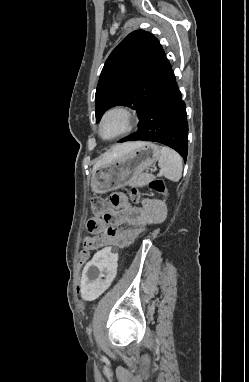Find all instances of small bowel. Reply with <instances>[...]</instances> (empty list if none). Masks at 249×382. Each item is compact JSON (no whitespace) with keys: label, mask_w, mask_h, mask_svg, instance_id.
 <instances>
[{"label":"small bowel","mask_w":249,"mask_h":382,"mask_svg":"<svg viewBox=\"0 0 249 382\" xmlns=\"http://www.w3.org/2000/svg\"><path fill=\"white\" fill-rule=\"evenodd\" d=\"M109 202L112 208L106 214L93 216L86 223L88 236L84 244L87 250H104L105 245L113 248L130 245L147 226L163 222L167 215L162 202L146 200L141 206H133L123 193L112 194ZM124 223L129 227L122 228ZM79 287L80 284L78 291Z\"/></svg>","instance_id":"1"}]
</instances>
